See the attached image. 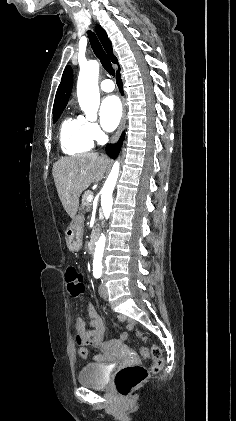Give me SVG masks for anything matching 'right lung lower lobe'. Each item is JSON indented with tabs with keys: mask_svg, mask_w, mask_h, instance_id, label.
Listing matches in <instances>:
<instances>
[{
	"mask_svg": "<svg viewBox=\"0 0 236 421\" xmlns=\"http://www.w3.org/2000/svg\"><path fill=\"white\" fill-rule=\"evenodd\" d=\"M116 82H117V85H118V87H119V90H120L121 94H123V90H122V80H121V77H120V72H119V71H117V75H116ZM124 135H125V134H124V133H122V135H121V137H120V139H119L118 143L113 144V145L108 144V145L106 146V153H107V155H108L109 157H111V158L115 159V158L118 156V153H119V151H120V147H121V145H122V141L124 140Z\"/></svg>",
	"mask_w": 236,
	"mask_h": 421,
	"instance_id": "right-lung-lower-lobe-1",
	"label": "right lung lower lobe"
}]
</instances>
